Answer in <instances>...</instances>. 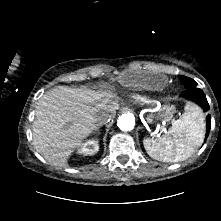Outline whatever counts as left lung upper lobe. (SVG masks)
I'll use <instances>...</instances> for the list:
<instances>
[{"mask_svg":"<svg viewBox=\"0 0 221 221\" xmlns=\"http://www.w3.org/2000/svg\"><path fill=\"white\" fill-rule=\"evenodd\" d=\"M179 77L182 83L185 85L186 89L194 88L197 86V83L193 79L182 75H180Z\"/></svg>","mask_w":221,"mask_h":221,"instance_id":"5c2ea615","label":"left lung upper lobe"}]
</instances>
